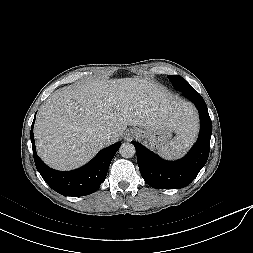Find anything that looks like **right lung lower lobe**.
<instances>
[{
  "label": "right lung lower lobe",
  "instance_id": "obj_1",
  "mask_svg": "<svg viewBox=\"0 0 253 253\" xmlns=\"http://www.w3.org/2000/svg\"><path fill=\"white\" fill-rule=\"evenodd\" d=\"M36 116V114H35ZM31 126V142L36 168L44 181L56 192L66 196H85L98 190L105 180L110 163L121 143H116L101 150L86 165L68 172L54 170L48 167L38 157L35 149L33 126Z\"/></svg>",
  "mask_w": 253,
  "mask_h": 253
}]
</instances>
